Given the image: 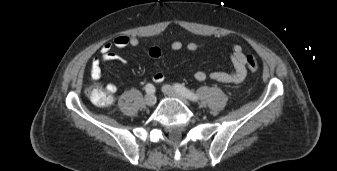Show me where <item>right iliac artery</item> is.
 <instances>
[{"instance_id":"obj_1","label":"right iliac artery","mask_w":337,"mask_h":171,"mask_svg":"<svg viewBox=\"0 0 337 171\" xmlns=\"http://www.w3.org/2000/svg\"><path fill=\"white\" fill-rule=\"evenodd\" d=\"M145 90H146V92H147L148 94H152V93L155 92V87H154L152 84L148 83V84L145 86Z\"/></svg>"}]
</instances>
